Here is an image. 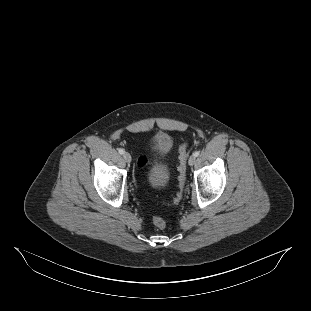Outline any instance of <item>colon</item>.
<instances>
[{"label": "colon", "mask_w": 311, "mask_h": 311, "mask_svg": "<svg viewBox=\"0 0 311 311\" xmlns=\"http://www.w3.org/2000/svg\"><path fill=\"white\" fill-rule=\"evenodd\" d=\"M187 143H183L179 147V176H178V187L179 191L172 200L171 204H177L182 199L184 187H185V181H186V158H187ZM146 164V158L145 157H139L137 165L138 167H144ZM153 224L159 229H164L166 227V221L164 218L160 216L153 217Z\"/></svg>", "instance_id": "colon-1"}]
</instances>
